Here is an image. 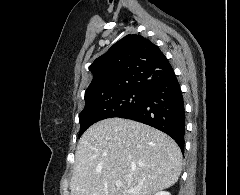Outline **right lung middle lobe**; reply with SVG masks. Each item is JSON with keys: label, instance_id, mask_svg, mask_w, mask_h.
I'll use <instances>...</instances> for the list:
<instances>
[{"label": "right lung middle lobe", "instance_id": "obj_1", "mask_svg": "<svg viewBox=\"0 0 240 195\" xmlns=\"http://www.w3.org/2000/svg\"><path fill=\"white\" fill-rule=\"evenodd\" d=\"M146 93L127 89L98 98L85 99V107L79 116V136L94 123L106 118L118 117L137 107L144 100Z\"/></svg>", "mask_w": 240, "mask_h": 195}]
</instances>
